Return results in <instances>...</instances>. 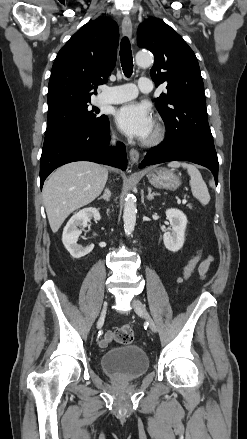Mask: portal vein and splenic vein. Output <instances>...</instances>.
I'll return each mask as SVG.
<instances>
[{
    "mask_svg": "<svg viewBox=\"0 0 247 439\" xmlns=\"http://www.w3.org/2000/svg\"><path fill=\"white\" fill-rule=\"evenodd\" d=\"M186 202H187L186 199H183V200H182V203H183V204H185Z\"/></svg>",
    "mask_w": 247,
    "mask_h": 439,
    "instance_id": "obj_1",
    "label": "portal vein and splenic vein"
}]
</instances>
